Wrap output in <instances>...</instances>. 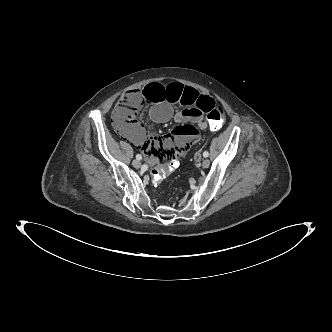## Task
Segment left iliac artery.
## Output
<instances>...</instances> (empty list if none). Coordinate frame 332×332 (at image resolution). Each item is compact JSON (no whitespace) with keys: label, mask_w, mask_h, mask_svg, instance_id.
<instances>
[{"label":"left iliac artery","mask_w":332,"mask_h":332,"mask_svg":"<svg viewBox=\"0 0 332 332\" xmlns=\"http://www.w3.org/2000/svg\"><path fill=\"white\" fill-rule=\"evenodd\" d=\"M208 156H209V152H208V151H204V152H203V157L206 158V157H208Z\"/></svg>","instance_id":"1"}]
</instances>
